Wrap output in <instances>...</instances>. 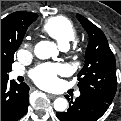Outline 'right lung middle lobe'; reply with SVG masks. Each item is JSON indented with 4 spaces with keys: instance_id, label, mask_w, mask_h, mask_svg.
Returning a JSON list of instances; mask_svg holds the SVG:
<instances>
[{
    "instance_id": "right-lung-middle-lobe-1",
    "label": "right lung middle lobe",
    "mask_w": 121,
    "mask_h": 121,
    "mask_svg": "<svg viewBox=\"0 0 121 121\" xmlns=\"http://www.w3.org/2000/svg\"><path fill=\"white\" fill-rule=\"evenodd\" d=\"M29 24L19 26L15 31L9 34V40L11 39V45L14 49L13 53L9 57L1 56V79L8 78V72L11 71V65L14 62L13 57L17 48L20 46L24 34Z\"/></svg>"
}]
</instances>
